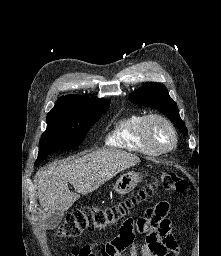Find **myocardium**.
Here are the masks:
<instances>
[{
    "label": "myocardium",
    "instance_id": "f54148a6",
    "mask_svg": "<svg viewBox=\"0 0 221 256\" xmlns=\"http://www.w3.org/2000/svg\"><path fill=\"white\" fill-rule=\"evenodd\" d=\"M154 121H160L162 123H164L171 131L172 133V142L169 146L167 147H159L157 146L151 136H150V125L152 122ZM141 137L143 139V141L155 152V153H166L169 152L170 150H172L178 141V135H177V131L175 126L173 125V123L165 116L161 115V114H157V113H152V114H148L143 118L142 121V126H141Z\"/></svg>",
    "mask_w": 221,
    "mask_h": 256
}]
</instances>
